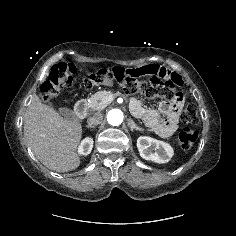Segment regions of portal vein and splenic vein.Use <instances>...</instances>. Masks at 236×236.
I'll return each mask as SVG.
<instances>
[{"mask_svg": "<svg viewBox=\"0 0 236 236\" xmlns=\"http://www.w3.org/2000/svg\"><path fill=\"white\" fill-rule=\"evenodd\" d=\"M112 100H113V96H109L106 101L110 103Z\"/></svg>", "mask_w": 236, "mask_h": 236, "instance_id": "obj_1", "label": "portal vein and splenic vein"}]
</instances>
